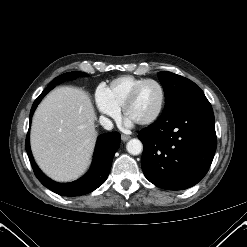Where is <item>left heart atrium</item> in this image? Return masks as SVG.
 <instances>
[{"label": "left heart atrium", "instance_id": "obj_1", "mask_svg": "<svg viewBox=\"0 0 247 247\" xmlns=\"http://www.w3.org/2000/svg\"><path fill=\"white\" fill-rule=\"evenodd\" d=\"M134 123H135V122H134L133 120H131L129 117H127L126 120H125V125H126L127 127L133 126Z\"/></svg>", "mask_w": 247, "mask_h": 247}]
</instances>
